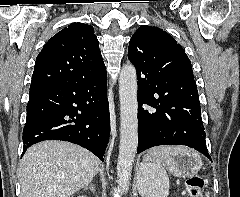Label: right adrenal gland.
I'll list each match as a JSON object with an SVG mask.
<instances>
[{
    "label": "right adrenal gland",
    "instance_id": "right-adrenal-gland-1",
    "mask_svg": "<svg viewBox=\"0 0 240 197\" xmlns=\"http://www.w3.org/2000/svg\"><path fill=\"white\" fill-rule=\"evenodd\" d=\"M90 189L93 193H95V188L93 183H91L89 186L84 187V190Z\"/></svg>",
    "mask_w": 240,
    "mask_h": 197
}]
</instances>
